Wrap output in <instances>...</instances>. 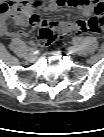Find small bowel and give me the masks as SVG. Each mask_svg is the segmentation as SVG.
<instances>
[{
    "label": "small bowel",
    "instance_id": "obj_1",
    "mask_svg": "<svg viewBox=\"0 0 104 137\" xmlns=\"http://www.w3.org/2000/svg\"><path fill=\"white\" fill-rule=\"evenodd\" d=\"M69 6L80 9L86 16H91L88 20H77L69 23L58 24L56 21L47 20L36 11L42 8L46 12H53L57 9ZM104 4L99 0H12L0 7V33L11 38H21L26 36L25 31H12L9 22L26 27L30 24L42 26L49 25L58 27L64 33H94L101 32L103 25ZM94 17L101 19L98 25H94L91 20Z\"/></svg>",
    "mask_w": 104,
    "mask_h": 137
}]
</instances>
